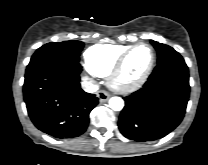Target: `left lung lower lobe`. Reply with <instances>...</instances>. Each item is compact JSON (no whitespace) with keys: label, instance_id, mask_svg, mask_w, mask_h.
<instances>
[{"label":"left lung lower lobe","instance_id":"0a47b994","mask_svg":"<svg viewBox=\"0 0 208 165\" xmlns=\"http://www.w3.org/2000/svg\"><path fill=\"white\" fill-rule=\"evenodd\" d=\"M189 95V71L182 56L158 62L144 86L124 97L120 132L138 142L164 137L182 121Z\"/></svg>","mask_w":208,"mask_h":165}]
</instances>
